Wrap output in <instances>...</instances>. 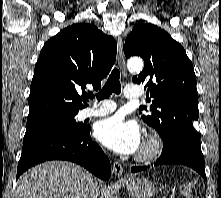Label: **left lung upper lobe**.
<instances>
[{
    "instance_id": "1",
    "label": "left lung upper lobe",
    "mask_w": 221,
    "mask_h": 198,
    "mask_svg": "<svg viewBox=\"0 0 221 198\" xmlns=\"http://www.w3.org/2000/svg\"><path fill=\"white\" fill-rule=\"evenodd\" d=\"M127 58L138 55L144 70L132 81L145 84L149 107L141 106L142 119L163 140L173 137L200 139L193 126L198 119V92L193 65L184 48L153 24H136L123 46Z\"/></svg>"
}]
</instances>
